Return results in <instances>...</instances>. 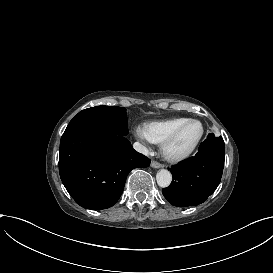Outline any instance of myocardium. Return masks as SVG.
I'll return each instance as SVG.
<instances>
[{
	"instance_id": "obj_1",
	"label": "myocardium",
	"mask_w": 273,
	"mask_h": 273,
	"mask_svg": "<svg viewBox=\"0 0 273 273\" xmlns=\"http://www.w3.org/2000/svg\"><path fill=\"white\" fill-rule=\"evenodd\" d=\"M192 122H199L202 125V132L200 136L187 150L177 151L175 149V144L177 140L179 139L184 128ZM206 131H207V126L204 121L198 118H189L188 120L180 124L178 127H176L175 130L172 132V134L163 142L162 150L165 157L172 162H182L187 160L193 155V153L201 144L202 140L205 137Z\"/></svg>"
}]
</instances>
